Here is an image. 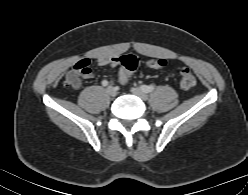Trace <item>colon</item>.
Returning a JSON list of instances; mask_svg holds the SVG:
<instances>
[{"instance_id": "colon-1", "label": "colon", "mask_w": 248, "mask_h": 195, "mask_svg": "<svg viewBox=\"0 0 248 195\" xmlns=\"http://www.w3.org/2000/svg\"><path fill=\"white\" fill-rule=\"evenodd\" d=\"M120 64L130 75L136 70L140 64V59L135 55H124L120 57ZM146 65L150 68H163L167 65L165 59L154 58L146 61ZM90 66L86 60L79 61L75 66L68 72L65 80V86L70 88H77L80 85L81 77L88 72L87 68ZM196 85V78L193 72L189 68H182L180 71V86L184 90H190Z\"/></svg>"}]
</instances>
